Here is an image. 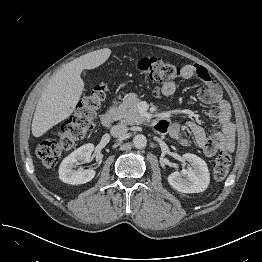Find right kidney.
Returning a JSON list of instances; mask_svg holds the SVG:
<instances>
[{"label":"right kidney","mask_w":262,"mask_h":262,"mask_svg":"<svg viewBox=\"0 0 262 262\" xmlns=\"http://www.w3.org/2000/svg\"><path fill=\"white\" fill-rule=\"evenodd\" d=\"M93 149V144H85L67 156L59 167V178L61 181L71 185L84 184L91 181L96 174L95 170L82 168L76 170L74 168L79 162H88Z\"/></svg>","instance_id":"right-kidney-1"}]
</instances>
